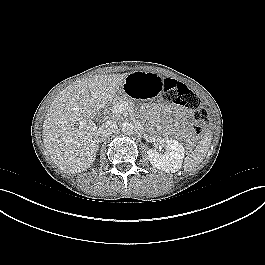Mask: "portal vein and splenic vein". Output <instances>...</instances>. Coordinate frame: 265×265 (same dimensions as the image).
<instances>
[{
	"mask_svg": "<svg viewBox=\"0 0 265 265\" xmlns=\"http://www.w3.org/2000/svg\"><path fill=\"white\" fill-rule=\"evenodd\" d=\"M129 107L124 105V104H119L116 106L115 108V112L116 113H123V111H125L126 109H128Z\"/></svg>",
	"mask_w": 265,
	"mask_h": 265,
	"instance_id": "obj_1",
	"label": "portal vein and splenic vein"
}]
</instances>
